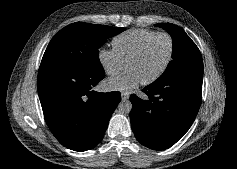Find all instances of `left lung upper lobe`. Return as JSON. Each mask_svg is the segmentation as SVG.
Here are the masks:
<instances>
[{
  "instance_id": "1",
  "label": "left lung upper lobe",
  "mask_w": 237,
  "mask_h": 169,
  "mask_svg": "<svg viewBox=\"0 0 237 169\" xmlns=\"http://www.w3.org/2000/svg\"><path fill=\"white\" fill-rule=\"evenodd\" d=\"M155 26L167 30L173 40L172 61L168 64L165 72L155 82L176 78L192 72L203 71L201 53L182 28L172 23H159Z\"/></svg>"
}]
</instances>
